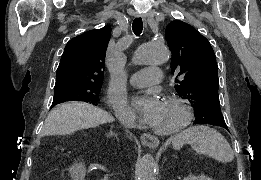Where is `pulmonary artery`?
<instances>
[{
	"label": "pulmonary artery",
	"instance_id": "1",
	"mask_svg": "<svg viewBox=\"0 0 261 180\" xmlns=\"http://www.w3.org/2000/svg\"><path fill=\"white\" fill-rule=\"evenodd\" d=\"M161 69H141L130 75L129 82L139 89H152L151 82H158L161 78Z\"/></svg>",
	"mask_w": 261,
	"mask_h": 180
}]
</instances>
